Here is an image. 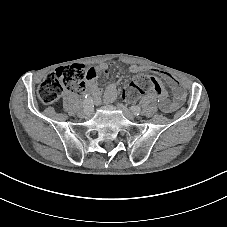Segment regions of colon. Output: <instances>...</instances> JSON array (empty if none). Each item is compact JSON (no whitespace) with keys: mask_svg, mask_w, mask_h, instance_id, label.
<instances>
[{"mask_svg":"<svg viewBox=\"0 0 227 227\" xmlns=\"http://www.w3.org/2000/svg\"><path fill=\"white\" fill-rule=\"evenodd\" d=\"M85 78L84 67L80 64L59 67L39 85L38 97L42 103L52 104L65 90L81 93L85 88ZM148 91L155 92L161 101L168 100V94L161 83L146 75L136 77L122 90V95L126 99L133 100Z\"/></svg>","mask_w":227,"mask_h":227,"instance_id":"colon-1","label":"colon"}]
</instances>
